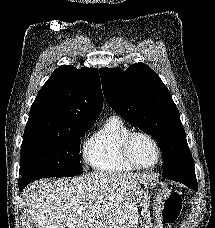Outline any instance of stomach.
Masks as SVG:
<instances>
[{
  "label": "stomach",
  "mask_w": 215,
  "mask_h": 228,
  "mask_svg": "<svg viewBox=\"0 0 215 228\" xmlns=\"http://www.w3.org/2000/svg\"><path fill=\"white\" fill-rule=\"evenodd\" d=\"M136 194L140 208H142L143 228H163L164 202L171 194L170 188L153 178V180L139 184Z\"/></svg>",
  "instance_id": "stomach-1"
}]
</instances>
